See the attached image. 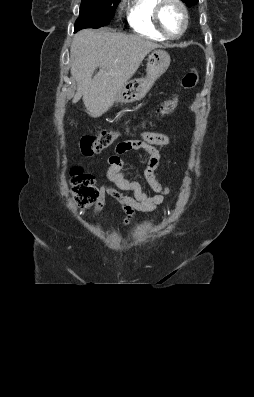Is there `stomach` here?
Returning <instances> with one entry per match:
<instances>
[{
	"label": "stomach",
	"instance_id": "1",
	"mask_svg": "<svg viewBox=\"0 0 254 397\" xmlns=\"http://www.w3.org/2000/svg\"><path fill=\"white\" fill-rule=\"evenodd\" d=\"M146 76L127 81L117 92V103H132L145 97L154 82L170 65V55L161 49L153 50L148 56Z\"/></svg>",
	"mask_w": 254,
	"mask_h": 397
}]
</instances>
